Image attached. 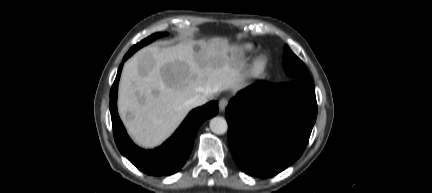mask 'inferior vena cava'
Segmentation results:
<instances>
[{
  "label": "inferior vena cava",
  "instance_id": "602c4592",
  "mask_svg": "<svg viewBox=\"0 0 432 193\" xmlns=\"http://www.w3.org/2000/svg\"><path fill=\"white\" fill-rule=\"evenodd\" d=\"M212 99L211 92H205L202 94H197L193 98H191L188 103L191 107H198Z\"/></svg>",
  "mask_w": 432,
  "mask_h": 193
}]
</instances>
